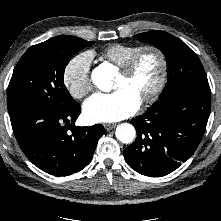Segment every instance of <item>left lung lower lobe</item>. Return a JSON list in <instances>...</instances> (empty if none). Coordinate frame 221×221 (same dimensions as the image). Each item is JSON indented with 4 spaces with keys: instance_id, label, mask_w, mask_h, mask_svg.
I'll return each instance as SVG.
<instances>
[{
    "instance_id": "1",
    "label": "left lung lower lobe",
    "mask_w": 221,
    "mask_h": 221,
    "mask_svg": "<svg viewBox=\"0 0 221 221\" xmlns=\"http://www.w3.org/2000/svg\"><path fill=\"white\" fill-rule=\"evenodd\" d=\"M210 110L211 94L187 90L166 96L156 108L130 121L137 137L124 150L126 162L145 176L171 173L194 153Z\"/></svg>"
}]
</instances>
